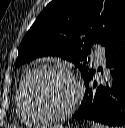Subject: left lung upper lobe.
Instances as JSON below:
<instances>
[{"mask_svg":"<svg viewBox=\"0 0 125 128\" xmlns=\"http://www.w3.org/2000/svg\"><path fill=\"white\" fill-rule=\"evenodd\" d=\"M125 26V0H53L26 33L15 66L42 56L75 64L82 77L94 70L92 44L106 46Z\"/></svg>","mask_w":125,"mask_h":128,"instance_id":"1","label":"left lung upper lobe"}]
</instances>
